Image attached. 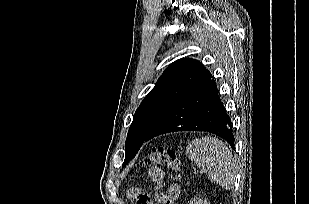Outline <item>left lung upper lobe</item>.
<instances>
[{
    "mask_svg": "<svg viewBox=\"0 0 309 204\" xmlns=\"http://www.w3.org/2000/svg\"><path fill=\"white\" fill-rule=\"evenodd\" d=\"M210 79V72L198 60L183 58L171 64L136 110L127 135L123 166L135 157L158 119L174 103Z\"/></svg>",
    "mask_w": 309,
    "mask_h": 204,
    "instance_id": "5c2ea615",
    "label": "left lung upper lobe"
}]
</instances>
